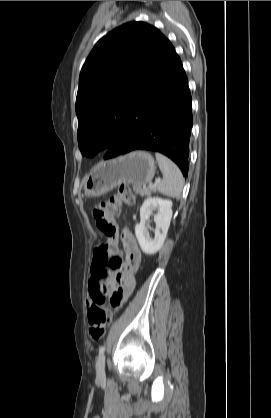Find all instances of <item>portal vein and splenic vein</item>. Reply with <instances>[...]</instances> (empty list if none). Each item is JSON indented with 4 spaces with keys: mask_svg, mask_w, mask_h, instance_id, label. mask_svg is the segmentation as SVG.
Here are the masks:
<instances>
[{
    "mask_svg": "<svg viewBox=\"0 0 271 418\" xmlns=\"http://www.w3.org/2000/svg\"><path fill=\"white\" fill-rule=\"evenodd\" d=\"M160 181H161V179L160 178H157L156 180H155V183L154 184H150V188H154L158 183H160Z\"/></svg>",
    "mask_w": 271,
    "mask_h": 418,
    "instance_id": "obj_1",
    "label": "portal vein and splenic vein"
}]
</instances>
